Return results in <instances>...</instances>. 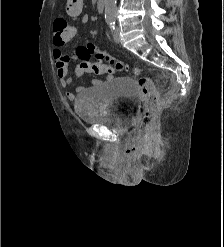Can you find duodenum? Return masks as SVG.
I'll return each mask as SVG.
<instances>
[{
	"label": "duodenum",
	"instance_id": "1",
	"mask_svg": "<svg viewBox=\"0 0 224 247\" xmlns=\"http://www.w3.org/2000/svg\"><path fill=\"white\" fill-rule=\"evenodd\" d=\"M107 0H98L97 1V11L102 12L106 8Z\"/></svg>",
	"mask_w": 224,
	"mask_h": 247
}]
</instances>
